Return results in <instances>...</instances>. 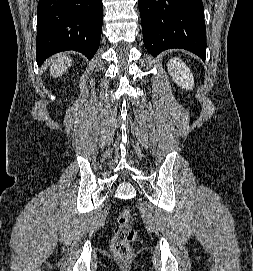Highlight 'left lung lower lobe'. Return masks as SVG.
Listing matches in <instances>:
<instances>
[{
  "instance_id": "1",
  "label": "left lung lower lobe",
  "mask_w": 253,
  "mask_h": 271,
  "mask_svg": "<svg viewBox=\"0 0 253 271\" xmlns=\"http://www.w3.org/2000/svg\"><path fill=\"white\" fill-rule=\"evenodd\" d=\"M138 5L144 44L151 55L182 48L205 60L202 0H138Z\"/></svg>"
}]
</instances>
